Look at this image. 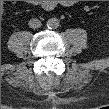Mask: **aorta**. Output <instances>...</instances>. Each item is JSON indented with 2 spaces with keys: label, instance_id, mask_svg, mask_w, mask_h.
<instances>
[{
  "label": "aorta",
  "instance_id": "aorta-1",
  "mask_svg": "<svg viewBox=\"0 0 109 109\" xmlns=\"http://www.w3.org/2000/svg\"><path fill=\"white\" fill-rule=\"evenodd\" d=\"M59 20L57 18H50L48 21H47V27L50 28V29H56L59 27Z\"/></svg>",
  "mask_w": 109,
  "mask_h": 109
}]
</instances>
